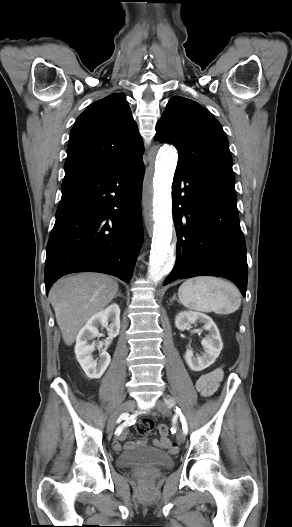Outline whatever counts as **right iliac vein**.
<instances>
[{"instance_id":"63e3f726","label":"right iliac vein","mask_w":292,"mask_h":527,"mask_svg":"<svg viewBox=\"0 0 292 527\" xmlns=\"http://www.w3.org/2000/svg\"><path fill=\"white\" fill-rule=\"evenodd\" d=\"M135 406L136 403L133 400L124 402L110 417L107 425V432L111 434L115 428L118 417L123 413L133 410Z\"/></svg>"}]
</instances>
